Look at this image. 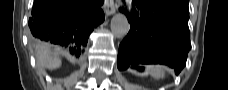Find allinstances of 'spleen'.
<instances>
[{"instance_id":"obj_1","label":"spleen","mask_w":228,"mask_h":90,"mask_svg":"<svg viewBox=\"0 0 228 90\" xmlns=\"http://www.w3.org/2000/svg\"><path fill=\"white\" fill-rule=\"evenodd\" d=\"M146 70L155 79L163 78L165 74V68L160 65H149Z\"/></svg>"}]
</instances>
